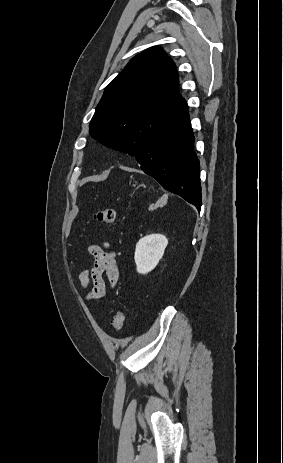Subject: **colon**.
<instances>
[{
	"label": "colon",
	"instance_id": "5ec220e1",
	"mask_svg": "<svg viewBox=\"0 0 283 463\" xmlns=\"http://www.w3.org/2000/svg\"><path fill=\"white\" fill-rule=\"evenodd\" d=\"M95 220L101 224H113L116 221V211L111 208L101 209L95 212ZM125 312L122 309H119L113 319V329L116 332H119L125 323Z\"/></svg>",
	"mask_w": 283,
	"mask_h": 463
}]
</instances>
